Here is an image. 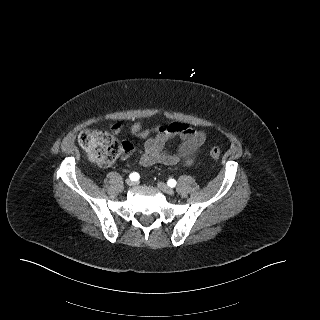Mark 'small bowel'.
<instances>
[{"label": "small bowel", "instance_id": "c3829d8e", "mask_svg": "<svg viewBox=\"0 0 320 320\" xmlns=\"http://www.w3.org/2000/svg\"><path fill=\"white\" fill-rule=\"evenodd\" d=\"M112 131L119 134L121 129L118 125L112 126ZM130 132L145 140L144 151L140 157V164L150 167L156 164L167 166L183 163L185 166H192L196 156L206 140L203 131L196 130L182 123H171L166 126L144 128L140 122H135L130 127ZM173 139H179L178 149L171 153L166 145ZM123 157L127 158L132 151V145L124 141Z\"/></svg>", "mask_w": 320, "mask_h": 320}]
</instances>
